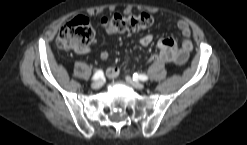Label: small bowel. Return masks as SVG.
<instances>
[{"label": "small bowel", "mask_w": 247, "mask_h": 145, "mask_svg": "<svg viewBox=\"0 0 247 145\" xmlns=\"http://www.w3.org/2000/svg\"><path fill=\"white\" fill-rule=\"evenodd\" d=\"M177 28L180 31L182 40L180 45L171 39V38H160L157 41V47L160 49V53L158 55H154L151 57L152 62H168L174 65L182 66L184 65L189 58V53L193 48L191 37V30L188 23L184 20H179L177 22ZM107 32L110 35H114L115 33L109 29ZM154 40L152 34H145L138 39V44L141 46H148ZM79 54H86L90 52V47L87 46L81 50H75ZM109 54L107 51H103L100 53L101 60H107ZM120 67L117 65H113L109 67L106 71L108 78H116L120 74Z\"/></svg>", "instance_id": "1"}]
</instances>
